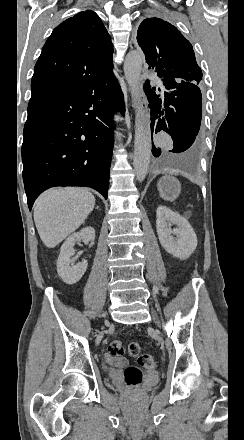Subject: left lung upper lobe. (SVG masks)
I'll return each mask as SVG.
<instances>
[{
    "label": "left lung upper lobe",
    "mask_w": 244,
    "mask_h": 440,
    "mask_svg": "<svg viewBox=\"0 0 244 440\" xmlns=\"http://www.w3.org/2000/svg\"><path fill=\"white\" fill-rule=\"evenodd\" d=\"M137 41L148 68L160 78L200 84L202 71L192 45L175 26L160 18H146L138 28Z\"/></svg>",
    "instance_id": "obj_1"
}]
</instances>
